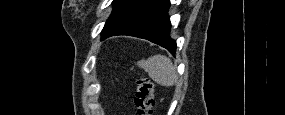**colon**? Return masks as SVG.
I'll return each instance as SVG.
<instances>
[{"label":"colon","instance_id":"1","mask_svg":"<svg viewBox=\"0 0 285 115\" xmlns=\"http://www.w3.org/2000/svg\"><path fill=\"white\" fill-rule=\"evenodd\" d=\"M137 90L134 99L137 114L152 115L154 107V86L152 81L144 76L136 80Z\"/></svg>","mask_w":285,"mask_h":115}]
</instances>
